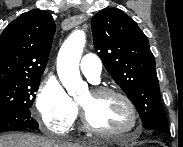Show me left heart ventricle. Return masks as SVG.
<instances>
[{
	"label": "left heart ventricle",
	"instance_id": "1",
	"mask_svg": "<svg viewBox=\"0 0 183 147\" xmlns=\"http://www.w3.org/2000/svg\"><path fill=\"white\" fill-rule=\"evenodd\" d=\"M79 103L87 110L91 122L100 129L120 131L132 124L127 105L117 96L96 97L89 91Z\"/></svg>",
	"mask_w": 183,
	"mask_h": 147
}]
</instances>
